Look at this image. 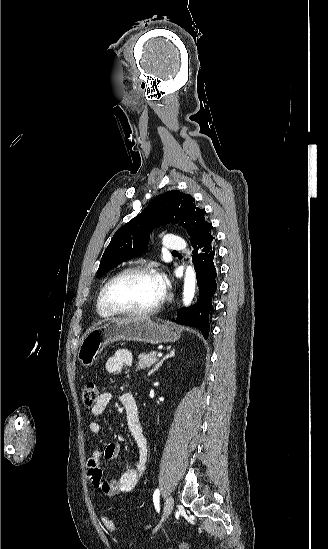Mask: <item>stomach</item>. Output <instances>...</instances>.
Listing matches in <instances>:
<instances>
[{
	"mask_svg": "<svg viewBox=\"0 0 328 549\" xmlns=\"http://www.w3.org/2000/svg\"><path fill=\"white\" fill-rule=\"evenodd\" d=\"M180 331L173 323H156L150 317H125L112 319L106 325L93 327L82 337L77 359L82 367L89 369L96 363L103 349L116 341H138V343H175Z\"/></svg>",
	"mask_w": 328,
	"mask_h": 549,
	"instance_id": "1",
	"label": "stomach"
}]
</instances>
